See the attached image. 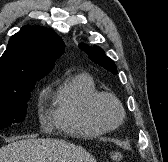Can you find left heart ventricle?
Returning <instances> with one entry per match:
<instances>
[{"instance_id":"left-heart-ventricle-1","label":"left heart ventricle","mask_w":168,"mask_h":162,"mask_svg":"<svg viewBox=\"0 0 168 162\" xmlns=\"http://www.w3.org/2000/svg\"><path fill=\"white\" fill-rule=\"evenodd\" d=\"M100 112L106 121L115 123L118 119V110L115 104L109 100H103L100 104Z\"/></svg>"}]
</instances>
